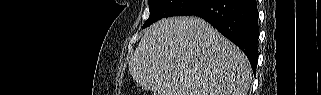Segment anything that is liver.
Returning a JSON list of instances; mask_svg holds the SVG:
<instances>
[{"instance_id":"6515ba94","label":"liver","mask_w":321,"mask_h":95,"mask_svg":"<svg viewBox=\"0 0 321 95\" xmlns=\"http://www.w3.org/2000/svg\"><path fill=\"white\" fill-rule=\"evenodd\" d=\"M128 66L153 95H247L252 79L242 51L193 16L162 19L147 28Z\"/></svg>"}]
</instances>
